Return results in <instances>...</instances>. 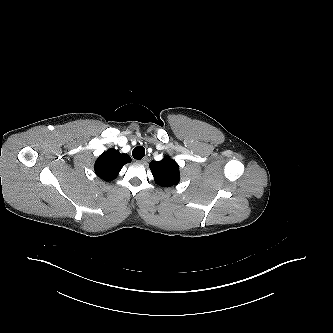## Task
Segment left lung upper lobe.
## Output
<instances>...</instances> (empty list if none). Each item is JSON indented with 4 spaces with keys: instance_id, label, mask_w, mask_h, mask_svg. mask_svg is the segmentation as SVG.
I'll return each mask as SVG.
<instances>
[{
    "instance_id": "1",
    "label": "left lung upper lobe",
    "mask_w": 333,
    "mask_h": 333,
    "mask_svg": "<svg viewBox=\"0 0 333 333\" xmlns=\"http://www.w3.org/2000/svg\"><path fill=\"white\" fill-rule=\"evenodd\" d=\"M150 169L155 182L162 187H169L179 183V165L169 157L161 161H151Z\"/></svg>"
}]
</instances>
